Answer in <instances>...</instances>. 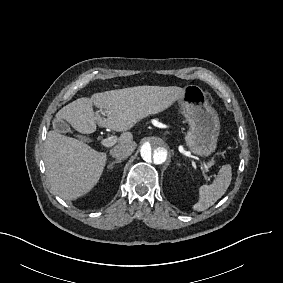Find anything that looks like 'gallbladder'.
I'll list each match as a JSON object with an SVG mask.
<instances>
[{
    "label": "gallbladder",
    "instance_id": "gallbladder-1",
    "mask_svg": "<svg viewBox=\"0 0 283 283\" xmlns=\"http://www.w3.org/2000/svg\"><path fill=\"white\" fill-rule=\"evenodd\" d=\"M52 123H53L54 129L57 132H60V133L71 132L70 126L63 120L54 119ZM79 138L82 140H86V137L84 136H79Z\"/></svg>",
    "mask_w": 283,
    "mask_h": 283
}]
</instances>
